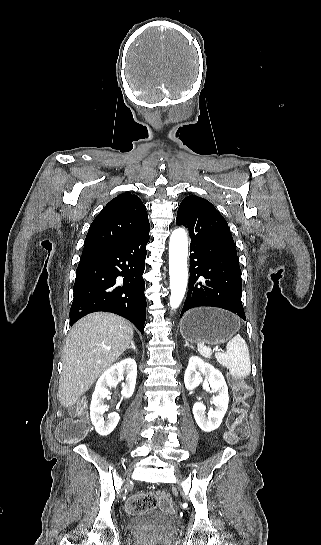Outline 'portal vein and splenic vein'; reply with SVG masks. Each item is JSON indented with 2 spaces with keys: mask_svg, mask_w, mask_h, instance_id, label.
Wrapping results in <instances>:
<instances>
[{
  "mask_svg": "<svg viewBox=\"0 0 321 545\" xmlns=\"http://www.w3.org/2000/svg\"><path fill=\"white\" fill-rule=\"evenodd\" d=\"M219 343L216 342L215 344H213V346L211 347V352L214 354V353H217L218 352V347H219Z\"/></svg>",
  "mask_w": 321,
  "mask_h": 545,
  "instance_id": "obj_1",
  "label": "portal vein and splenic vein"
}]
</instances>
